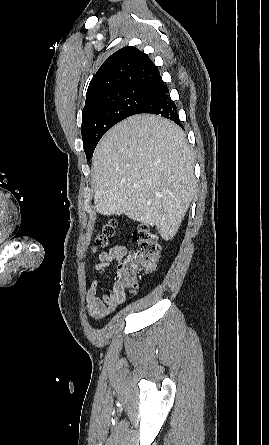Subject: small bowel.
I'll list each match as a JSON object with an SVG mask.
<instances>
[{"instance_id":"1","label":"small bowel","mask_w":269,"mask_h":445,"mask_svg":"<svg viewBox=\"0 0 269 445\" xmlns=\"http://www.w3.org/2000/svg\"><path fill=\"white\" fill-rule=\"evenodd\" d=\"M128 250L123 245H115L108 251L98 255V262L94 265L96 276L92 279L87 291V312L95 319L101 320L109 316L124 300V291L115 287L110 292L101 289V279L109 271L113 262H121L127 256Z\"/></svg>"}]
</instances>
